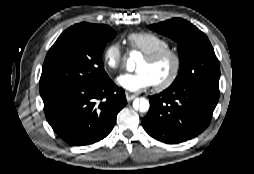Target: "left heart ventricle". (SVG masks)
Listing matches in <instances>:
<instances>
[{
  "mask_svg": "<svg viewBox=\"0 0 254 174\" xmlns=\"http://www.w3.org/2000/svg\"><path fill=\"white\" fill-rule=\"evenodd\" d=\"M173 68V60L166 56L155 63H149L143 59L138 65L137 70L147 72L152 78L154 84L165 81Z\"/></svg>",
  "mask_w": 254,
  "mask_h": 174,
  "instance_id": "left-heart-ventricle-1",
  "label": "left heart ventricle"
}]
</instances>
